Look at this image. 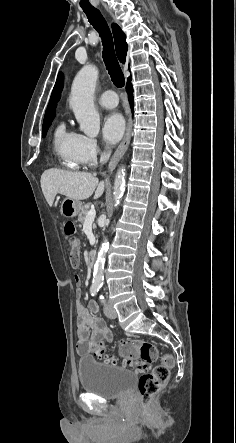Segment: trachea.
Returning <instances> with one entry per match:
<instances>
[{"label":"trachea","mask_w":236,"mask_h":443,"mask_svg":"<svg viewBox=\"0 0 236 443\" xmlns=\"http://www.w3.org/2000/svg\"><path fill=\"white\" fill-rule=\"evenodd\" d=\"M89 22L98 31L103 43V60L111 77L113 84L122 88L125 84V78L122 69L118 63L111 31L106 20L98 9H83Z\"/></svg>","instance_id":"3493384b"}]
</instances>
